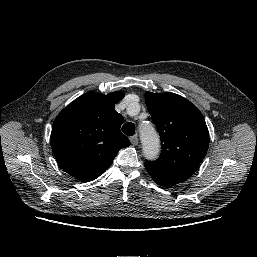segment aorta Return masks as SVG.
<instances>
[{
  "instance_id": "1",
  "label": "aorta",
  "mask_w": 257,
  "mask_h": 257,
  "mask_svg": "<svg viewBox=\"0 0 257 257\" xmlns=\"http://www.w3.org/2000/svg\"><path fill=\"white\" fill-rule=\"evenodd\" d=\"M140 133L143 155L149 160L156 159L160 151V142L153 127L150 125L147 129L141 130Z\"/></svg>"
}]
</instances>
